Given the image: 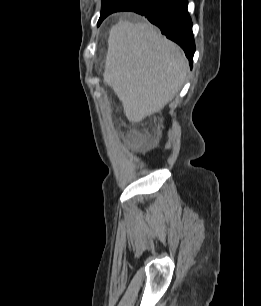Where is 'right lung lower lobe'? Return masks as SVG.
Wrapping results in <instances>:
<instances>
[{"mask_svg": "<svg viewBox=\"0 0 261 306\" xmlns=\"http://www.w3.org/2000/svg\"><path fill=\"white\" fill-rule=\"evenodd\" d=\"M187 0H130L120 8L100 17L98 24L117 11H133L145 16L162 34L179 44L192 66L195 44Z\"/></svg>", "mask_w": 261, "mask_h": 306, "instance_id": "1", "label": "right lung lower lobe"}]
</instances>
